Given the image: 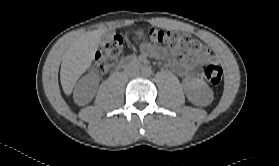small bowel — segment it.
<instances>
[{
	"mask_svg": "<svg viewBox=\"0 0 279 166\" xmlns=\"http://www.w3.org/2000/svg\"><path fill=\"white\" fill-rule=\"evenodd\" d=\"M146 52H149L146 50ZM154 56L161 57L162 53L157 51H150ZM213 56L208 52L204 51L198 56L193 58H183L180 61H175L173 63L174 70L183 77L195 76L198 72V69L204 64L213 61Z\"/></svg>",
	"mask_w": 279,
	"mask_h": 166,
	"instance_id": "1",
	"label": "small bowel"
}]
</instances>
